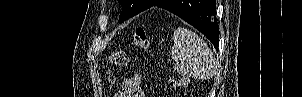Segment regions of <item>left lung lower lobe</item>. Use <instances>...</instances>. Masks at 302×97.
Here are the masks:
<instances>
[{
	"label": "left lung lower lobe",
	"instance_id": "obj_1",
	"mask_svg": "<svg viewBox=\"0 0 302 97\" xmlns=\"http://www.w3.org/2000/svg\"><path fill=\"white\" fill-rule=\"evenodd\" d=\"M153 6L166 9L194 26L218 50L219 27L215 18V0H155Z\"/></svg>",
	"mask_w": 302,
	"mask_h": 97
}]
</instances>
